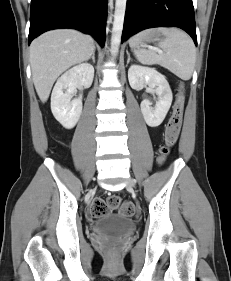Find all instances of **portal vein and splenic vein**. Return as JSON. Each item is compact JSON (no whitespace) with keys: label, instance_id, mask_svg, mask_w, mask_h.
<instances>
[{"label":"portal vein and splenic vein","instance_id":"1","mask_svg":"<svg viewBox=\"0 0 231 281\" xmlns=\"http://www.w3.org/2000/svg\"><path fill=\"white\" fill-rule=\"evenodd\" d=\"M159 53H162V51H161V50H159Z\"/></svg>","mask_w":231,"mask_h":281}]
</instances>
